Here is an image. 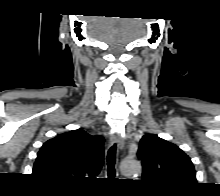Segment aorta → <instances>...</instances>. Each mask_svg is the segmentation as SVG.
<instances>
[{
    "label": "aorta",
    "mask_w": 220,
    "mask_h": 196,
    "mask_svg": "<svg viewBox=\"0 0 220 196\" xmlns=\"http://www.w3.org/2000/svg\"><path fill=\"white\" fill-rule=\"evenodd\" d=\"M121 172L126 175H134L141 171V165L139 161L134 159H124L120 165Z\"/></svg>",
    "instance_id": "aorta-1"
}]
</instances>
